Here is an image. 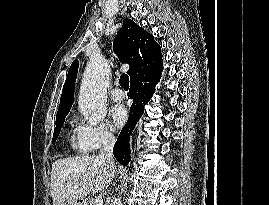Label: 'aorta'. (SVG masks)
I'll return each mask as SVG.
<instances>
[{"label": "aorta", "mask_w": 269, "mask_h": 205, "mask_svg": "<svg viewBox=\"0 0 269 205\" xmlns=\"http://www.w3.org/2000/svg\"><path fill=\"white\" fill-rule=\"evenodd\" d=\"M109 71V65L104 58L93 56L84 72L78 106L89 125H97L106 116ZM111 205H122V202L120 198H114Z\"/></svg>", "instance_id": "1"}]
</instances>
